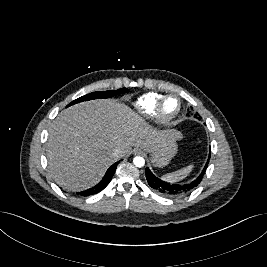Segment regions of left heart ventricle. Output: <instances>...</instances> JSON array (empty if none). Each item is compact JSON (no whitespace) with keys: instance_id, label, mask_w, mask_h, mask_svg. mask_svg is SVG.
I'll return each mask as SVG.
<instances>
[{"instance_id":"1","label":"left heart ventricle","mask_w":267,"mask_h":267,"mask_svg":"<svg viewBox=\"0 0 267 267\" xmlns=\"http://www.w3.org/2000/svg\"><path fill=\"white\" fill-rule=\"evenodd\" d=\"M178 107V102L176 99H169L165 102L163 106V114L165 116H170L172 115Z\"/></svg>"}]
</instances>
